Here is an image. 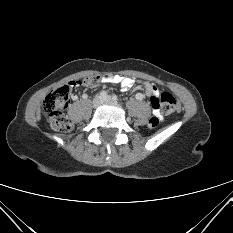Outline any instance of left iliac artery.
I'll use <instances>...</instances> for the list:
<instances>
[{"mask_svg":"<svg viewBox=\"0 0 233 233\" xmlns=\"http://www.w3.org/2000/svg\"><path fill=\"white\" fill-rule=\"evenodd\" d=\"M112 99H113L114 101H118L117 95H113V96H112Z\"/></svg>","mask_w":233,"mask_h":233,"instance_id":"left-iliac-artery-1","label":"left iliac artery"}]
</instances>
